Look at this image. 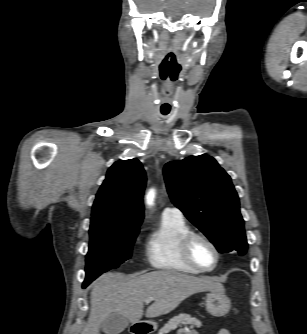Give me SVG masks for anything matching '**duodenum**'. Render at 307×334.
Masks as SVG:
<instances>
[{"label": "duodenum", "mask_w": 307, "mask_h": 334, "mask_svg": "<svg viewBox=\"0 0 307 334\" xmlns=\"http://www.w3.org/2000/svg\"><path fill=\"white\" fill-rule=\"evenodd\" d=\"M131 334H151V330L144 327H134Z\"/></svg>", "instance_id": "duodenum-1"}]
</instances>
